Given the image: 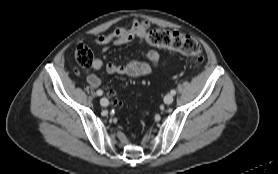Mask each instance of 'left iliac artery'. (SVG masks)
<instances>
[{
	"label": "left iliac artery",
	"instance_id": "obj_1",
	"mask_svg": "<svg viewBox=\"0 0 278 174\" xmlns=\"http://www.w3.org/2000/svg\"><path fill=\"white\" fill-rule=\"evenodd\" d=\"M171 95H175L176 94V91L173 89L170 91Z\"/></svg>",
	"mask_w": 278,
	"mask_h": 174
}]
</instances>
